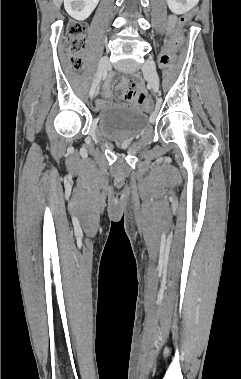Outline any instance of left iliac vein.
<instances>
[{
  "label": "left iliac vein",
  "instance_id": "left-iliac-vein-1",
  "mask_svg": "<svg viewBox=\"0 0 241 379\" xmlns=\"http://www.w3.org/2000/svg\"><path fill=\"white\" fill-rule=\"evenodd\" d=\"M142 71L144 75L148 78L152 89L154 92H158L159 90V77L156 71V65L154 61L151 60H146L143 67Z\"/></svg>",
  "mask_w": 241,
  "mask_h": 379
}]
</instances>
